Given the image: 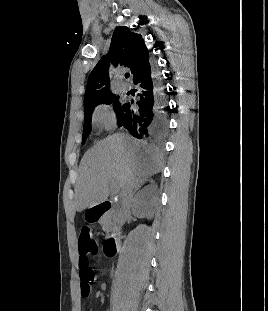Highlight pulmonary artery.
<instances>
[{"label":"pulmonary artery","mask_w":268,"mask_h":311,"mask_svg":"<svg viewBox=\"0 0 268 311\" xmlns=\"http://www.w3.org/2000/svg\"><path fill=\"white\" fill-rule=\"evenodd\" d=\"M120 89H121L122 91H126V90L128 89V86H127L126 84L122 83V84L120 85Z\"/></svg>","instance_id":"1"}]
</instances>
